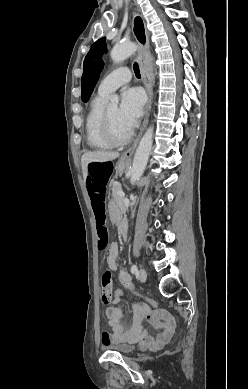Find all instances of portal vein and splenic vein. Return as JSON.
Returning <instances> with one entry per match:
<instances>
[{"instance_id":"1","label":"portal vein and splenic vein","mask_w":248,"mask_h":389,"mask_svg":"<svg viewBox=\"0 0 248 389\" xmlns=\"http://www.w3.org/2000/svg\"><path fill=\"white\" fill-rule=\"evenodd\" d=\"M118 194H119L120 196H123V197L125 196V193H124L123 191H119Z\"/></svg>"}]
</instances>
